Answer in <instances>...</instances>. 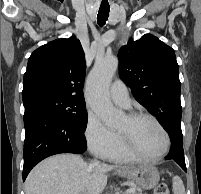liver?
Wrapping results in <instances>:
<instances>
[{
	"instance_id": "6515ba94",
	"label": "liver",
	"mask_w": 201,
	"mask_h": 194,
	"mask_svg": "<svg viewBox=\"0 0 201 194\" xmlns=\"http://www.w3.org/2000/svg\"><path fill=\"white\" fill-rule=\"evenodd\" d=\"M124 168L86 163L79 155H55L32 169L25 181V193L101 194L107 184V173Z\"/></svg>"
}]
</instances>
